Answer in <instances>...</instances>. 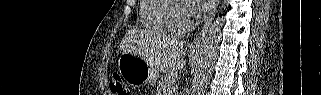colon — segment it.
<instances>
[{"instance_id":"1","label":"colon","mask_w":321,"mask_h":95,"mask_svg":"<svg viewBox=\"0 0 321 95\" xmlns=\"http://www.w3.org/2000/svg\"><path fill=\"white\" fill-rule=\"evenodd\" d=\"M110 89L113 93L118 95H129L127 86L118 75H113L110 80Z\"/></svg>"}]
</instances>
